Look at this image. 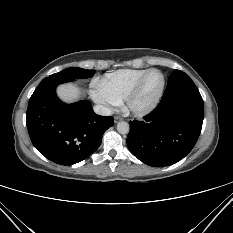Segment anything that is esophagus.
Instances as JSON below:
<instances>
[{
  "instance_id": "esophagus-1",
  "label": "esophagus",
  "mask_w": 233,
  "mask_h": 233,
  "mask_svg": "<svg viewBox=\"0 0 233 233\" xmlns=\"http://www.w3.org/2000/svg\"><path fill=\"white\" fill-rule=\"evenodd\" d=\"M121 120H122V118L120 116H115L114 117V123H118Z\"/></svg>"
}]
</instances>
